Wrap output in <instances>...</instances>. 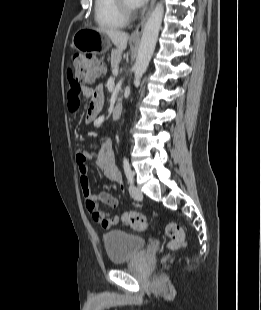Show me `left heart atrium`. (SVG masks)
<instances>
[{
    "label": "left heart atrium",
    "instance_id": "1",
    "mask_svg": "<svg viewBox=\"0 0 261 310\" xmlns=\"http://www.w3.org/2000/svg\"><path fill=\"white\" fill-rule=\"evenodd\" d=\"M148 0H129L132 8H140L147 3Z\"/></svg>",
    "mask_w": 261,
    "mask_h": 310
}]
</instances>
